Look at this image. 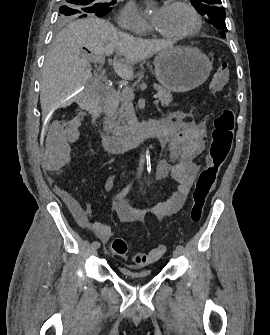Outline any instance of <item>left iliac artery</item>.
Returning <instances> with one entry per match:
<instances>
[{"label": "left iliac artery", "mask_w": 270, "mask_h": 335, "mask_svg": "<svg viewBox=\"0 0 270 335\" xmlns=\"http://www.w3.org/2000/svg\"><path fill=\"white\" fill-rule=\"evenodd\" d=\"M176 249H178L179 251H184V247L182 245H177Z\"/></svg>", "instance_id": "44dca946"}]
</instances>
